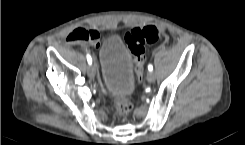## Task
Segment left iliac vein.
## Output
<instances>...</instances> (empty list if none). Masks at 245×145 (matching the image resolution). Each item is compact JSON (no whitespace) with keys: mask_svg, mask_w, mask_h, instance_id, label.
Wrapping results in <instances>:
<instances>
[{"mask_svg":"<svg viewBox=\"0 0 245 145\" xmlns=\"http://www.w3.org/2000/svg\"><path fill=\"white\" fill-rule=\"evenodd\" d=\"M147 80H148L150 83L154 82V80H155V74H154L153 72L150 71V72L147 74Z\"/></svg>","mask_w":245,"mask_h":145,"instance_id":"obj_1","label":"left iliac vein"}]
</instances>
